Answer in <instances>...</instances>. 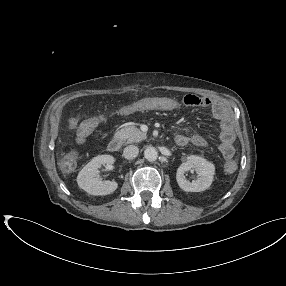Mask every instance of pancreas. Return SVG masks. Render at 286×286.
I'll return each instance as SVG.
<instances>
[{
	"label": "pancreas",
	"mask_w": 286,
	"mask_h": 286,
	"mask_svg": "<svg viewBox=\"0 0 286 286\" xmlns=\"http://www.w3.org/2000/svg\"><path fill=\"white\" fill-rule=\"evenodd\" d=\"M114 137L126 144L138 143L147 138L146 133L141 132L136 126L132 125L124 126L115 133Z\"/></svg>",
	"instance_id": "cf45deb5"
}]
</instances>
